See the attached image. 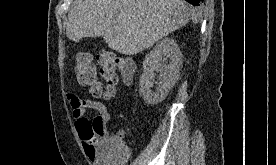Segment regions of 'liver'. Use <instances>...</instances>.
I'll return each mask as SVG.
<instances>
[{
    "label": "liver",
    "instance_id": "obj_1",
    "mask_svg": "<svg viewBox=\"0 0 276 165\" xmlns=\"http://www.w3.org/2000/svg\"><path fill=\"white\" fill-rule=\"evenodd\" d=\"M195 18L182 0H84L68 14L66 35L102 36L108 47L136 55Z\"/></svg>",
    "mask_w": 276,
    "mask_h": 165
}]
</instances>
